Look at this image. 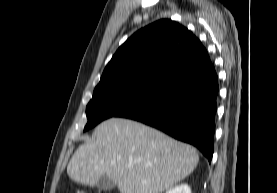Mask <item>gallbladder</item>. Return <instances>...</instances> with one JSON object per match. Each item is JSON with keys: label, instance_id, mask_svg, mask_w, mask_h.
Instances as JSON below:
<instances>
[{"label": "gallbladder", "instance_id": "1", "mask_svg": "<svg viewBox=\"0 0 277 193\" xmlns=\"http://www.w3.org/2000/svg\"><path fill=\"white\" fill-rule=\"evenodd\" d=\"M96 185L100 190L103 191H109L115 187V183L107 176L101 177Z\"/></svg>", "mask_w": 277, "mask_h": 193}]
</instances>
